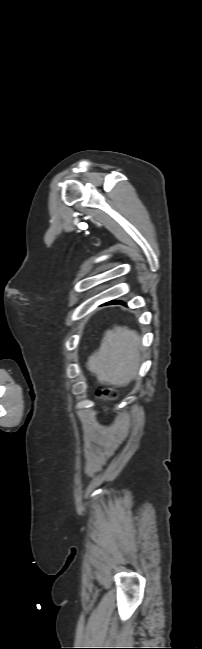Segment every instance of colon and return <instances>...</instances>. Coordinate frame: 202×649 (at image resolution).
<instances>
[{"label":"colon","instance_id":"colon-1","mask_svg":"<svg viewBox=\"0 0 202 649\" xmlns=\"http://www.w3.org/2000/svg\"><path fill=\"white\" fill-rule=\"evenodd\" d=\"M97 397L106 403H111L117 398V392L113 388H104L97 391Z\"/></svg>","mask_w":202,"mask_h":649}]
</instances>
